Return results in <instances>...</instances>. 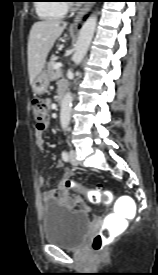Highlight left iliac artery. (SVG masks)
Wrapping results in <instances>:
<instances>
[{"label": "left iliac artery", "instance_id": "1", "mask_svg": "<svg viewBox=\"0 0 158 275\" xmlns=\"http://www.w3.org/2000/svg\"><path fill=\"white\" fill-rule=\"evenodd\" d=\"M62 159L66 162L68 161V153L66 151L62 152Z\"/></svg>", "mask_w": 158, "mask_h": 275}]
</instances>
